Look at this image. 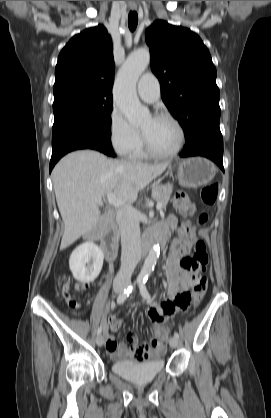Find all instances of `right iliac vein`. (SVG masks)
Masks as SVG:
<instances>
[{
    "label": "right iliac vein",
    "mask_w": 271,
    "mask_h": 418,
    "mask_svg": "<svg viewBox=\"0 0 271 418\" xmlns=\"http://www.w3.org/2000/svg\"><path fill=\"white\" fill-rule=\"evenodd\" d=\"M123 286L122 285H116L114 286V292L116 294H120L123 291ZM96 343L99 347H101L104 344V337L103 335L99 334L96 338Z\"/></svg>",
    "instance_id": "63e3f726"
}]
</instances>
